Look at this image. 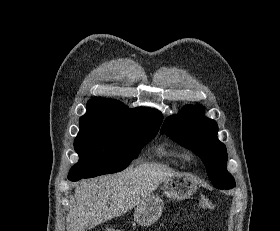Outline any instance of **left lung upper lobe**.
<instances>
[{"instance_id": "5c2ea615", "label": "left lung upper lobe", "mask_w": 280, "mask_h": 231, "mask_svg": "<svg viewBox=\"0 0 280 231\" xmlns=\"http://www.w3.org/2000/svg\"><path fill=\"white\" fill-rule=\"evenodd\" d=\"M179 115L168 117L162 128L173 141L192 150L203 161L207 174L218 189L235 187L233 176L227 171V150L217 138V123L204 116V108L188 106Z\"/></svg>"}]
</instances>
